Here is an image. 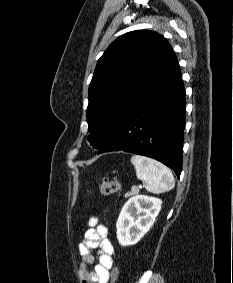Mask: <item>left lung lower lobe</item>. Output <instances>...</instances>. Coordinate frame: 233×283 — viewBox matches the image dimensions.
Masks as SVG:
<instances>
[{"label":"left lung lower lobe","mask_w":233,"mask_h":283,"mask_svg":"<svg viewBox=\"0 0 233 283\" xmlns=\"http://www.w3.org/2000/svg\"><path fill=\"white\" fill-rule=\"evenodd\" d=\"M185 89L172 51L154 71L138 100L111 140L99 153L126 151L154 158L182 171Z\"/></svg>","instance_id":"0a47b994"}]
</instances>
